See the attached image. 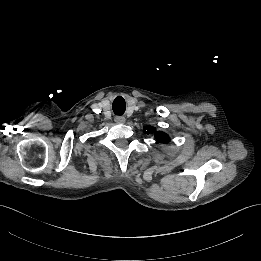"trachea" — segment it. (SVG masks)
<instances>
[{"instance_id": "1", "label": "trachea", "mask_w": 261, "mask_h": 261, "mask_svg": "<svg viewBox=\"0 0 261 261\" xmlns=\"http://www.w3.org/2000/svg\"><path fill=\"white\" fill-rule=\"evenodd\" d=\"M125 110H126L125 100L120 96L115 98L113 102V112L115 113V115L121 116L123 115Z\"/></svg>"}]
</instances>
